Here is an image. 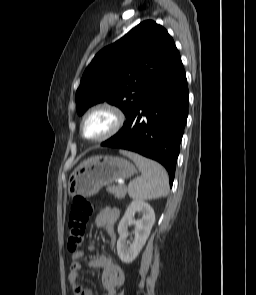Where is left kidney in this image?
<instances>
[{
    "label": "left kidney",
    "mask_w": 256,
    "mask_h": 295,
    "mask_svg": "<svg viewBox=\"0 0 256 295\" xmlns=\"http://www.w3.org/2000/svg\"><path fill=\"white\" fill-rule=\"evenodd\" d=\"M140 213L142 217L134 219V215ZM155 222L153 208L143 200H133L126 209V212L119 222L117 241V253L123 263H131L140 253ZM135 225V236L132 242L126 243L128 227Z\"/></svg>",
    "instance_id": "1"
}]
</instances>
